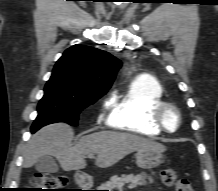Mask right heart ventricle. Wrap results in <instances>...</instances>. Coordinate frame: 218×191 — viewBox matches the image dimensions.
Masks as SVG:
<instances>
[{"label":"right heart ventricle","instance_id":"right-heart-ventricle-1","mask_svg":"<svg viewBox=\"0 0 218 191\" xmlns=\"http://www.w3.org/2000/svg\"><path fill=\"white\" fill-rule=\"evenodd\" d=\"M164 102L163 88L154 78H138L128 90L113 100L108 124L116 129L155 137L161 130L154 124L155 108Z\"/></svg>","mask_w":218,"mask_h":191}]
</instances>
